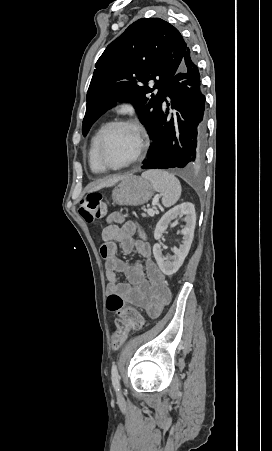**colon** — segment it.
<instances>
[{
	"label": "colon",
	"instance_id": "obj_1",
	"mask_svg": "<svg viewBox=\"0 0 272 451\" xmlns=\"http://www.w3.org/2000/svg\"><path fill=\"white\" fill-rule=\"evenodd\" d=\"M105 201L99 192H92L80 201L78 212L87 224H93L104 216ZM105 306L108 313H117V332L120 337H124L132 329H140L144 320L138 311L124 303L121 297L113 295L112 298L105 299ZM121 338H111V347H121Z\"/></svg>",
	"mask_w": 272,
	"mask_h": 451
}]
</instances>
